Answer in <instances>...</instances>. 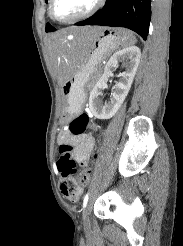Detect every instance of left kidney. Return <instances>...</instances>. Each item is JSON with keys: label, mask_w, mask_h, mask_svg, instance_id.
<instances>
[{"label": "left kidney", "mask_w": 183, "mask_h": 246, "mask_svg": "<svg viewBox=\"0 0 183 246\" xmlns=\"http://www.w3.org/2000/svg\"><path fill=\"white\" fill-rule=\"evenodd\" d=\"M140 58L141 51L136 46L126 47L116 51L110 57L104 68L103 75L97 81L90 93L89 108L96 118L110 119L119 110L130 90ZM119 61L125 63L126 70L119 75L120 80L114 86L110 101H108V103H103L99 96L101 91L105 88V80L107 77L113 75V71L117 68Z\"/></svg>", "instance_id": "obj_1"}]
</instances>
